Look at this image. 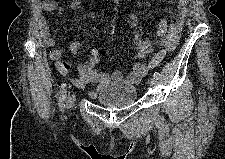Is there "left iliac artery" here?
<instances>
[{
  "label": "left iliac artery",
  "mask_w": 225,
  "mask_h": 159,
  "mask_svg": "<svg viewBox=\"0 0 225 159\" xmlns=\"http://www.w3.org/2000/svg\"><path fill=\"white\" fill-rule=\"evenodd\" d=\"M153 76L156 80H158L160 78V73L155 71Z\"/></svg>",
  "instance_id": "1"
}]
</instances>
